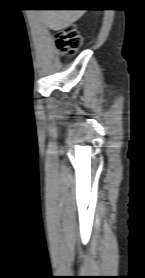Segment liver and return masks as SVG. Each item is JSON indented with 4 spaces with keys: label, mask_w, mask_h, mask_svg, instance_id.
<instances>
[{
    "label": "liver",
    "mask_w": 145,
    "mask_h": 278,
    "mask_svg": "<svg viewBox=\"0 0 145 278\" xmlns=\"http://www.w3.org/2000/svg\"><path fill=\"white\" fill-rule=\"evenodd\" d=\"M84 10H41V21L51 30L59 31L77 21Z\"/></svg>",
    "instance_id": "1"
}]
</instances>
